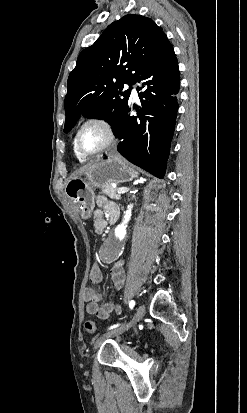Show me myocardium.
Listing matches in <instances>:
<instances>
[{"mask_svg": "<svg viewBox=\"0 0 247 413\" xmlns=\"http://www.w3.org/2000/svg\"><path fill=\"white\" fill-rule=\"evenodd\" d=\"M90 126H97V127H100V128H104L108 132V138H107L106 142L99 149H97L96 151H93V152L85 151L81 147L80 141H79L81 132L85 128L90 127ZM117 139H118V132H117V129H116L115 125L112 122H110L109 120H107L105 118L94 117V118H91V119L85 121L82 124V126L77 130V132L75 134V138H74V143H75V147H76L77 152L81 156H83L84 158L89 159V158H93V157H96V156L102 154L104 151H106L107 149L112 147L116 143Z\"/></svg>", "mask_w": 247, "mask_h": 413, "instance_id": "obj_1", "label": "myocardium"}]
</instances>
